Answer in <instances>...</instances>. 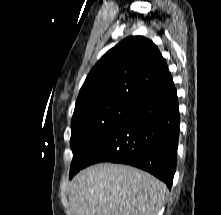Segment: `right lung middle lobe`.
<instances>
[{"mask_svg":"<svg viewBox=\"0 0 221 215\" xmlns=\"http://www.w3.org/2000/svg\"><path fill=\"white\" fill-rule=\"evenodd\" d=\"M133 105L125 101L108 100L75 107L71 121L73 159L70 178L86 166L93 151Z\"/></svg>","mask_w":221,"mask_h":215,"instance_id":"right-lung-middle-lobe-1","label":"right lung middle lobe"}]
</instances>
